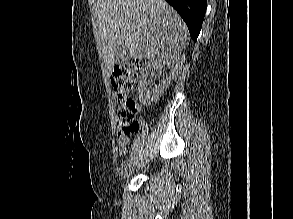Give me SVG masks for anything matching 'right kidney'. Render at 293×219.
I'll return each instance as SVG.
<instances>
[{
    "mask_svg": "<svg viewBox=\"0 0 293 219\" xmlns=\"http://www.w3.org/2000/svg\"><path fill=\"white\" fill-rule=\"evenodd\" d=\"M184 62L185 56L178 53L166 57L150 59L146 62L141 70L138 82V94L140 101L143 104L157 102L172 81L175 80ZM165 65L170 67L169 73L166 74L165 77L159 79L158 84L150 82L148 80L149 72L154 69L160 73Z\"/></svg>",
    "mask_w": 293,
    "mask_h": 219,
    "instance_id": "ca27d5eb",
    "label": "right kidney"
}]
</instances>
